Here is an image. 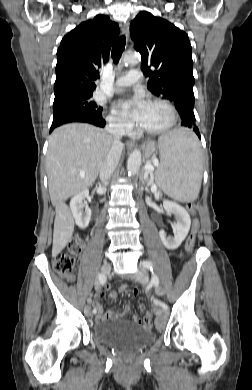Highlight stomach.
Here are the masks:
<instances>
[{
  "mask_svg": "<svg viewBox=\"0 0 252 390\" xmlns=\"http://www.w3.org/2000/svg\"><path fill=\"white\" fill-rule=\"evenodd\" d=\"M155 149H156V147H155V144L153 142L148 143L145 146V155L147 157H150L155 152Z\"/></svg>",
  "mask_w": 252,
  "mask_h": 390,
  "instance_id": "0dacf381",
  "label": "stomach"
}]
</instances>
